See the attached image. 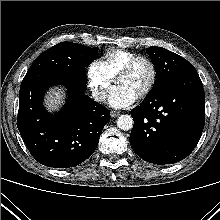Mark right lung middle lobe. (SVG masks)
Returning <instances> with one entry per match:
<instances>
[{"instance_id":"1","label":"right lung middle lobe","mask_w":220,"mask_h":220,"mask_svg":"<svg viewBox=\"0 0 220 220\" xmlns=\"http://www.w3.org/2000/svg\"><path fill=\"white\" fill-rule=\"evenodd\" d=\"M98 55V47L61 42L41 53L27 73L39 71H85Z\"/></svg>"}]
</instances>
